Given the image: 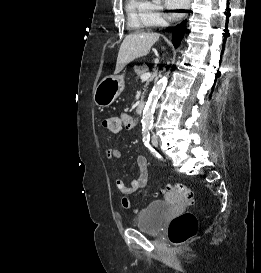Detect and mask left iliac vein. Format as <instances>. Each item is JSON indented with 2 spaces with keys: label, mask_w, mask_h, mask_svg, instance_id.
Returning <instances> with one entry per match:
<instances>
[{
  "label": "left iliac vein",
  "mask_w": 261,
  "mask_h": 273,
  "mask_svg": "<svg viewBox=\"0 0 261 273\" xmlns=\"http://www.w3.org/2000/svg\"><path fill=\"white\" fill-rule=\"evenodd\" d=\"M152 143H153L154 146H157V145H158V141H157V138H156V137H153Z\"/></svg>",
  "instance_id": "1"
}]
</instances>
